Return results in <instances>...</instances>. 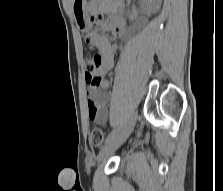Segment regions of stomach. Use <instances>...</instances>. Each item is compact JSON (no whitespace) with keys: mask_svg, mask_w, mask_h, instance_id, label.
Wrapping results in <instances>:
<instances>
[{"mask_svg":"<svg viewBox=\"0 0 223 191\" xmlns=\"http://www.w3.org/2000/svg\"><path fill=\"white\" fill-rule=\"evenodd\" d=\"M72 11L78 28L88 32L91 28L87 0H73Z\"/></svg>","mask_w":223,"mask_h":191,"instance_id":"1","label":"stomach"}]
</instances>
